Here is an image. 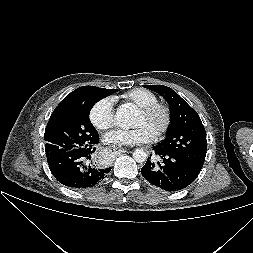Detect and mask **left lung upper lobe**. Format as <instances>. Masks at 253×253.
Here are the masks:
<instances>
[{
	"mask_svg": "<svg viewBox=\"0 0 253 253\" xmlns=\"http://www.w3.org/2000/svg\"><path fill=\"white\" fill-rule=\"evenodd\" d=\"M144 87L163 96L171 111V124L166 138L156 147L201 170L205 161L207 141L199 115L171 88L163 85Z\"/></svg>",
	"mask_w": 253,
	"mask_h": 253,
	"instance_id": "left-lung-upper-lobe-1",
	"label": "left lung upper lobe"
}]
</instances>
